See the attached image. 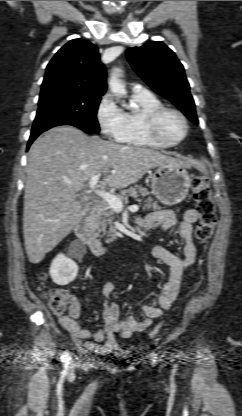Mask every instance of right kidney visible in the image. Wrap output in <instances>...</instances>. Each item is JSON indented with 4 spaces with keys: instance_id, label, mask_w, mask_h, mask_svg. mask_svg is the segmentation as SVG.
I'll list each match as a JSON object with an SVG mask.
<instances>
[{
    "instance_id": "1",
    "label": "right kidney",
    "mask_w": 242,
    "mask_h": 416,
    "mask_svg": "<svg viewBox=\"0 0 242 416\" xmlns=\"http://www.w3.org/2000/svg\"><path fill=\"white\" fill-rule=\"evenodd\" d=\"M78 273V265L69 257L58 254L50 266V276L54 283L67 285L72 282Z\"/></svg>"
}]
</instances>
